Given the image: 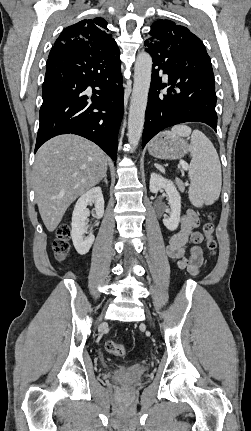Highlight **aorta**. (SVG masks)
Wrapping results in <instances>:
<instances>
[{"instance_id":"1","label":"aorta","mask_w":251,"mask_h":431,"mask_svg":"<svg viewBox=\"0 0 251 431\" xmlns=\"http://www.w3.org/2000/svg\"><path fill=\"white\" fill-rule=\"evenodd\" d=\"M152 58L146 52L138 54L134 66V84L128 116V141L135 149L142 136L145 110L151 83Z\"/></svg>"}]
</instances>
